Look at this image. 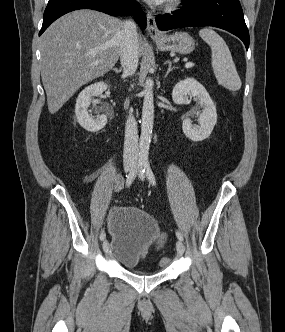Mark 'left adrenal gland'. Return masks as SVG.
Masks as SVG:
<instances>
[{"instance_id": "1", "label": "left adrenal gland", "mask_w": 285, "mask_h": 332, "mask_svg": "<svg viewBox=\"0 0 285 332\" xmlns=\"http://www.w3.org/2000/svg\"><path fill=\"white\" fill-rule=\"evenodd\" d=\"M165 63L168 64V69H167V72L165 75V77H167V75L170 73V71H172V69H174L175 67H172V62L170 60L166 61Z\"/></svg>"}]
</instances>
